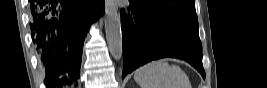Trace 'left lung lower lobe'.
Returning <instances> with one entry per match:
<instances>
[{"mask_svg":"<svg viewBox=\"0 0 267 88\" xmlns=\"http://www.w3.org/2000/svg\"><path fill=\"white\" fill-rule=\"evenodd\" d=\"M139 16L135 23L121 10L123 38V75L139 66L163 57H175L189 62L203 77L202 45L198 26L174 21H154Z\"/></svg>","mask_w":267,"mask_h":88,"instance_id":"obj_1","label":"left lung lower lobe"}]
</instances>
